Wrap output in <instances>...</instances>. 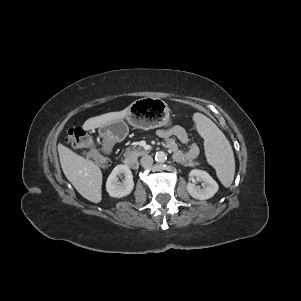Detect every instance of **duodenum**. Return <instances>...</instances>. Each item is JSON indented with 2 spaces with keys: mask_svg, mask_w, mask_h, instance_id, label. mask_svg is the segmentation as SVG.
Instances as JSON below:
<instances>
[{
  "mask_svg": "<svg viewBox=\"0 0 301 301\" xmlns=\"http://www.w3.org/2000/svg\"><path fill=\"white\" fill-rule=\"evenodd\" d=\"M113 147H114V142L111 140V139H106L104 142H103V145H102V150L105 152V153H110L112 150H113ZM125 165L129 168H136V162L132 159H127L125 160Z\"/></svg>",
  "mask_w": 301,
  "mask_h": 301,
  "instance_id": "1",
  "label": "duodenum"
}]
</instances>
